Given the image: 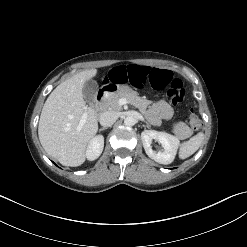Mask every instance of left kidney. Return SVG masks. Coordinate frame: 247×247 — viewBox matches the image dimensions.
<instances>
[{
  "instance_id": "5707ae66",
  "label": "left kidney",
  "mask_w": 247,
  "mask_h": 247,
  "mask_svg": "<svg viewBox=\"0 0 247 247\" xmlns=\"http://www.w3.org/2000/svg\"><path fill=\"white\" fill-rule=\"evenodd\" d=\"M141 139L146 154L160 164H170L174 160L180 144L176 136L155 130H144L141 133ZM153 140L162 145L163 149L161 151L155 152L152 149Z\"/></svg>"
}]
</instances>
